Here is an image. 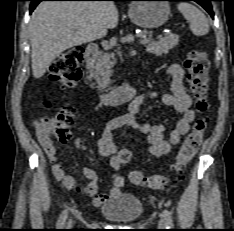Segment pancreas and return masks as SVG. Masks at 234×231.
Wrapping results in <instances>:
<instances>
[{"instance_id":"obj_1","label":"pancreas","mask_w":234,"mask_h":231,"mask_svg":"<svg viewBox=\"0 0 234 231\" xmlns=\"http://www.w3.org/2000/svg\"><path fill=\"white\" fill-rule=\"evenodd\" d=\"M149 38L152 37L151 34L144 32ZM179 41V36L177 34H165L164 37L160 38L158 41L149 40L146 49L149 53L156 56H161L167 54L169 50L174 48ZM114 54H100L92 64V69L90 71V76L96 79L98 87L100 89H105L110 84V76L112 74V68L115 64Z\"/></svg>"}]
</instances>
